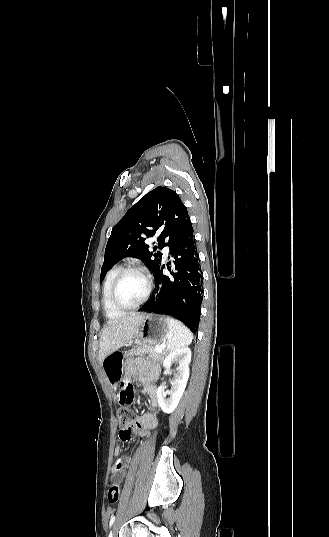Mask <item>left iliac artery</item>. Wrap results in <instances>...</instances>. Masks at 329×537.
<instances>
[{
    "label": "left iliac artery",
    "instance_id": "44dca946",
    "mask_svg": "<svg viewBox=\"0 0 329 537\" xmlns=\"http://www.w3.org/2000/svg\"><path fill=\"white\" fill-rule=\"evenodd\" d=\"M114 521H115V515H112L111 518H110V523H109L110 528L113 525Z\"/></svg>",
    "mask_w": 329,
    "mask_h": 537
}]
</instances>
